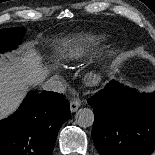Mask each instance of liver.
I'll use <instances>...</instances> for the list:
<instances>
[{
	"instance_id": "obj_1",
	"label": "liver",
	"mask_w": 155,
	"mask_h": 155,
	"mask_svg": "<svg viewBox=\"0 0 155 155\" xmlns=\"http://www.w3.org/2000/svg\"><path fill=\"white\" fill-rule=\"evenodd\" d=\"M47 75L48 69L41 65L30 46L21 56H10L9 61L0 60V119L14 112L27 88L41 83Z\"/></svg>"
}]
</instances>
